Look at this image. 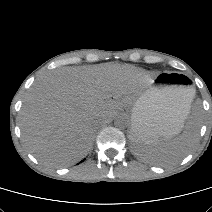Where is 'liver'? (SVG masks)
<instances>
[{
	"label": "liver",
	"mask_w": 212,
	"mask_h": 212,
	"mask_svg": "<svg viewBox=\"0 0 212 212\" xmlns=\"http://www.w3.org/2000/svg\"><path fill=\"white\" fill-rule=\"evenodd\" d=\"M132 65L99 64L53 70L29 89L19 117L25 147L48 166H69L92 146L100 122L135 102L152 83Z\"/></svg>",
	"instance_id": "1"
}]
</instances>
